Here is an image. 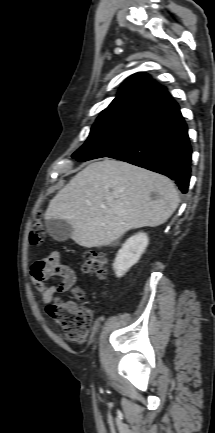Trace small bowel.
Segmentation results:
<instances>
[{
	"label": "small bowel",
	"instance_id": "obj_1",
	"mask_svg": "<svg viewBox=\"0 0 215 433\" xmlns=\"http://www.w3.org/2000/svg\"><path fill=\"white\" fill-rule=\"evenodd\" d=\"M30 278L45 304L51 302L55 293L67 292L77 281L74 270L70 266L61 263L60 255L56 251L49 253L31 265ZM52 278H58V283L49 285L48 281Z\"/></svg>",
	"mask_w": 215,
	"mask_h": 433
}]
</instances>
